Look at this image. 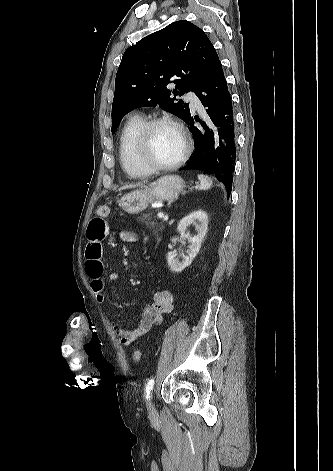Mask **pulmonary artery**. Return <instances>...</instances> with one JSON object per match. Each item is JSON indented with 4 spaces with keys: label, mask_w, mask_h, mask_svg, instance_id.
<instances>
[{
    "label": "pulmonary artery",
    "mask_w": 333,
    "mask_h": 471,
    "mask_svg": "<svg viewBox=\"0 0 333 471\" xmlns=\"http://www.w3.org/2000/svg\"><path fill=\"white\" fill-rule=\"evenodd\" d=\"M187 98L190 100L193 107H195V108H200L201 107V103H200L199 99L194 94L189 93L187 95Z\"/></svg>",
    "instance_id": "obj_1"
}]
</instances>
